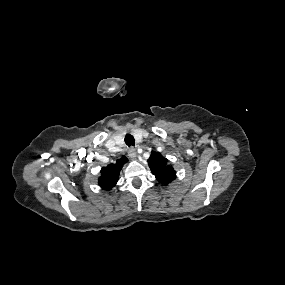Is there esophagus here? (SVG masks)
Segmentation results:
<instances>
[{
  "label": "esophagus",
  "instance_id": "34e87169",
  "mask_svg": "<svg viewBox=\"0 0 285 285\" xmlns=\"http://www.w3.org/2000/svg\"><path fill=\"white\" fill-rule=\"evenodd\" d=\"M128 156H129L132 160L135 159L136 156H137L136 149L133 148V147L129 148V150H128Z\"/></svg>",
  "mask_w": 285,
  "mask_h": 285
}]
</instances>
